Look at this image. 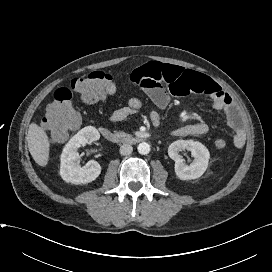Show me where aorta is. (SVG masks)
<instances>
[{
	"mask_svg": "<svg viewBox=\"0 0 272 272\" xmlns=\"http://www.w3.org/2000/svg\"><path fill=\"white\" fill-rule=\"evenodd\" d=\"M137 150L140 154L146 155L150 152V145L146 142H142L138 145Z\"/></svg>",
	"mask_w": 272,
	"mask_h": 272,
	"instance_id": "762f6f07",
	"label": "aorta"
}]
</instances>
